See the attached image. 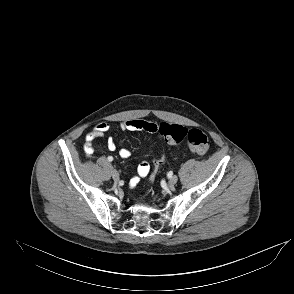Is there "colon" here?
<instances>
[{
    "label": "colon",
    "instance_id": "1",
    "mask_svg": "<svg viewBox=\"0 0 294 294\" xmlns=\"http://www.w3.org/2000/svg\"><path fill=\"white\" fill-rule=\"evenodd\" d=\"M145 129L150 133L157 134L159 138L173 145L186 141L189 149L198 155H205L209 150V139L199 129H188L181 125L168 123L155 124L149 122ZM158 170L159 161L154 159L151 168V180L156 177Z\"/></svg>",
    "mask_w": 294,
    "mask_h": 294
}]
</instances>
